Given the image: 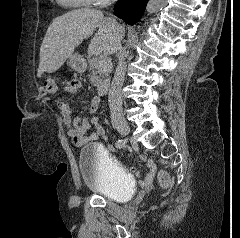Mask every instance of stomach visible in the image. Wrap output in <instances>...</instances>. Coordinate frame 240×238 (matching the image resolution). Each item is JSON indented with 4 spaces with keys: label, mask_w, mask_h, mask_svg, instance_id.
Segmentation results:
<instances>
[{
    "label": "stomach",
    "mask_w": 240,
    "mask_h": 238,
    "mask_svg": "<svg viewBox=\"0 0 240 238\" xmlns=\"http://www.w3.org/2000/svg\"><path fill=\"white\" fill-rule=\"evenodd\" d=\"M67 65L75 71L82 72L86 69L84 59L77 53H73L67 60Z\"/></svg>",
    "instance_id": "0dacf381"
}]
</instances>
